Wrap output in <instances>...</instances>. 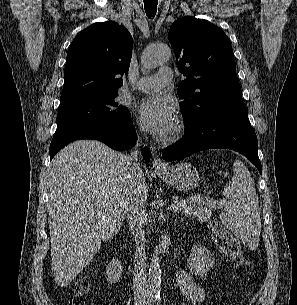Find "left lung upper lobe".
Returning <instances> with one entry per match:
<instances>
[{"mask_svg":"<svg viewBox=\"0 0 297 305\" xmlns=\"http://www.w3.org/2000/svg\"><path fill=\"white\" fill-rule=\"evenodd\" d=\"M180 72L177 94L187 122L202 115L211 106L241 96L233 50L227 35L204 19L185 17L169 30Z\"/></svg>","mask_w":297,"mask_h":305,"instance_id":"obj_1","label":"left lung upper lobe"}]
</instances>
